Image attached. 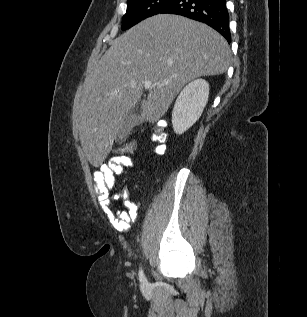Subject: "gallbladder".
I'll return each instance as SVG.
<instances>
[{
  "instance_id": "1",
  "label": "gallbladder",
  "mask_w": 307,
  "mask_h": 317,
  "mask_svg": "<svg viewBox=\"0 0 307 317\" xmlns=\"http://www.w3.org/2000/svg\"><path fill=\"white\" fill-rule=\"evenodd\" d=\"M136 111V109H132L123 117V121L121 122L118 131V143L123 142L130 134L131 130L141 123V120L139 119V114Z\"/></svg>"
}]
</instances>
